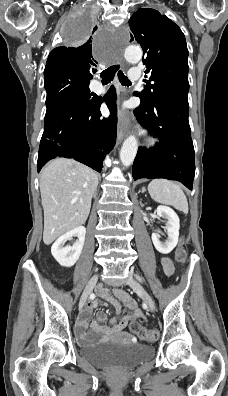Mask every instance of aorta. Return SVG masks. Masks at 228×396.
I'll use <instances>...</instances> for the list:
<instances>
[{"instance_id": "1", "label": "aorta", "mask_w": 228, "mask_h": 396, "mask_svg": "<svg viewBox=\"0 0 228 396\" xmlns=\"http://www.w3.org/2000/svg\"><path fill=\"white\" fill-rule=\"evenodd\" d=\"M125 59L129 62H138L142 58V50L139 47L128 46L124 51ZM138 142L135 136H129L122 145L120 160L124 166H130L137 154Z\"/></svg>"}]
</instances>
